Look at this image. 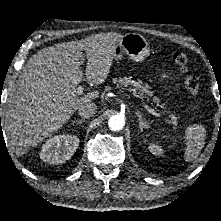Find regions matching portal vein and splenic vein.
I'll list each match as a JSON object with an SVG mask.
<instances>
[{"mask_svg":"<svg viewBox=\"0 0 221 221\" xmlns=\"http://www.w3.org/2000/svg\"><path fill=\"white\" fill-rule=\"evenodd\" d=\"M84 88L82 86H78L77 88V94L82 96L83 95ZM139 102L142 104V106L153 116L160 118L162 115L158 112H156L154 109H152L149 105H147L143 100H139Z\"/></svg>","mask_w":221,"mask_h":221,"instance_id":"portal-vein-and-splenic-vein-1","label":"portal vein and splenic vein"}]
</instances>
